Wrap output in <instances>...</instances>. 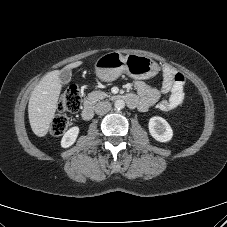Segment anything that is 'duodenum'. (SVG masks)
I'll use <instances>...</instances> for the list:
<instances>
[{"label":"duodenum","instance_id":"1","mask_svg":"<svg viewBox=\"0 0 227 227\" xmlns=\"http://www.w3.org/2000/svg\"><path fill=\"white\" fill-rule=\"evenodd\" d=\"M113 99L123 100L131 108L136 107L138 103L137 98L133 94L115 95L113 96ZM81 115L84 120L92 119L94 115V106L91 100L85 102Z\"/></svg>","mask_w":227,"mask_h":227}]
</instances>
